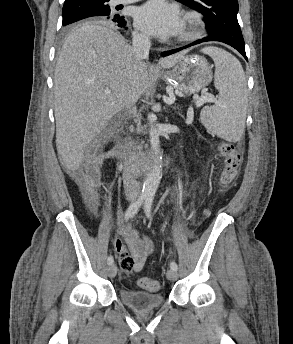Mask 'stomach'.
<instances>
[{"instance_id": "obj_1", "label": "stomach", "mask_w": 293, "mask_h": 344, "mask_svg": "<svg viewBox=\"0 0 293 344\" xmlns=\"http://www.w3.org/2000/svg\"><path fill=\"white\" fill-rule=\"evenodd\" d=\"M161 77L181 93L190 95L205 88L212 80L211 67L203 56L184 55Z\"/></svg>"}]
</instances>
